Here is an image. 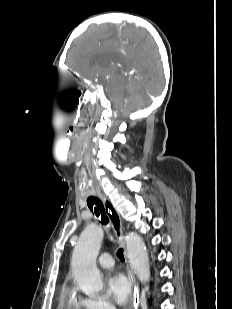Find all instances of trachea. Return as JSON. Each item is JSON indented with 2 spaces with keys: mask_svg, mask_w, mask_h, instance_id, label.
Listing matches in <instances>:
<instances>
[{
  "mask_svg": "<svg viewBox=\"0 0 232 309\" xmlns=\"http://www.w3.org/2000/svg\"><path fill=\"white\" fill-rule=\"evenodd\" d=\"M87 205H88L89 209L91 210V212L93 214H95V216L99 219V221L103 225H107L109 223V219H108V216L105 213L103 203L98 197L93 196V195L89 196L87 198ZM117 256L121 261H124L123 250L121 248L118 249Z\"/></svg>",
  "mask_w": 232,
  "mask_h": 309,
  "instance_id": "obj_1",
  "label": "trachea"
}]
</instances>
